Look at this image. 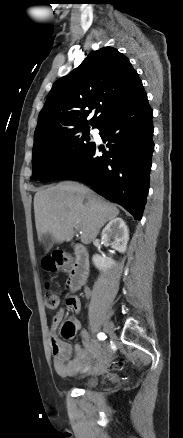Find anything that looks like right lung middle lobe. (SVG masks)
<instances>
[{"label": "right lung middle lobe", "instance_id": "right-lung-middle-lobe-1", "mask_svg": "<svg viewBox=\"0 0 183 438\" xmlns=\"http://www.w3.org/2000/svg\"><path fill=\"white\" fill-rule=\"evenodd\" d=\"M89 135V127H79L35 140L32 153L33 178L43 182L55 178L83 149L93 144Z\"/></svg>", "mask_w": 183, "mask_h": 438}]
</instances>
